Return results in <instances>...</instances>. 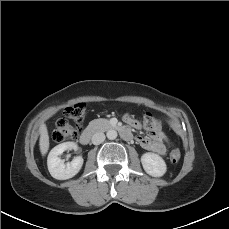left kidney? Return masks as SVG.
Returning <instances> with one entry per match:
<instances>
[{
    "label": "left kidney",
    "mask_w": 229,
    "mask_h": 229,
    "mask_svg": "<svg viewBox=\"0 0 229 229\" xmlns=\"http://www.w3.org/2000/svg\"><path fill=\"white\" fill-rule=\"evenodd\" d=\"M141 163L146 173L152 177H161L166 173V163L158 154L144 153L141 156Z\"/></svg>",
    "instance_id": "1"
}]
</instances>
